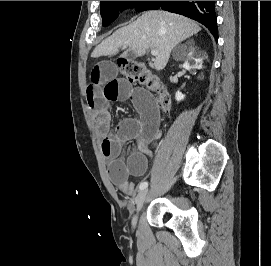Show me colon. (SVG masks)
Returning a JSON list of instances; mask_svg holds the SVG:
<instances>
[{"label": "colon", "instance_id": "obj_1", "mask_svg": "<svg viewBox=\"0 0 271 266\" xmlns=\"http://www.w3.org/2000/svg\"><path fill=\"white\" fill-rule=\"evenodd\" d=\"M117 69L128 81L139 83L149 89L155 97L158 108L167 112L170 109L169 94L161 80L151 72L144 63L120 58L116 62Z\"/></svg>", "mask_w": 271, "mask_h": 266}]
</instances>
